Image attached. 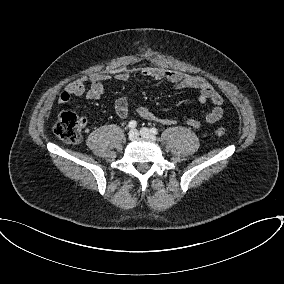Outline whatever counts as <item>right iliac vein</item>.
Here are the masks:
<instances>
[{
	"label": "right iliac vein",
	"instance_id": "obj_1",
	"mask_svg": "<svg viewBox=\"0 0 284 284\" xmlns=\"http://www.w3.org/2000/svg\"><path fill=\"white\" fill-rule=\"evenodd\" d=\"M138 136H139V133H138V131L135 130V129L130 130L129 133H128V138H129V140H131V141L137 139Z\"/></svg>",
	"mask_w": 284,
	"mask_h": 284
}]
</instances>
